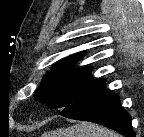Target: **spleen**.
Segmentation results:
<instances>
[{
  "label": "spleen",
  "instance_id": "3e777b00",
  "mask_svg": "<svg viewBox=\"0 0 144 137\" xmlns=\"http://www.w3.org/2000/svg\"><path fill=\"white\" fill-rule=\"evenodd\" d=\"M61 137H121L105 127L90 122H81L58 131Z\"/></svg>",
  "mask_w": 144,
  "mask_h": 137
}]
</instances>
